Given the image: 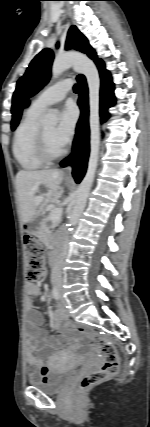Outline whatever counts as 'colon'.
Returning a JSON list of instances; mask_svg holds the SVG:
<instances>
[{"label": "colon", "instance_id": "1", "mask_svg": "<svg viewBox=\"0 0 150 427\" xmlns=\"http://www.w3.org/2000/svg\"><path fill=\"white\" fill-rule=\"evenodd\" d=\"M23 241L27 255L26 277L29 282L36 283L44 275L43 250L39 241L29 233L24 235ZM75 332L84 336L90 347L102 360V364L97 370L82 378L80 389L87 390L116 375L119 370V357L113 343L103 336L89 334L79 326Z\"/></svg>", "mask_w": 150, "mask_h": 427}]
</instances>
